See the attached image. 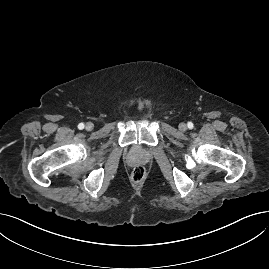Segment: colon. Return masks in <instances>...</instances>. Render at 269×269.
<instances>
[{
	"instance_id": "colon-1",
	"label": "colon",
	"mask_w": 269,
	"mask_h": 269,
	"mask_svg": "<svg viewBox=\"0 0 269 269\" xmlns=\"http://www.w3.org/2000/svg\"><path fill=\"white\" fill-rule=\"evenodd\" d=\"M146 176V170L143 166H136L133 168L131 177L135 182H140L144 180Z\"/></svg>"
}]
</instances>
